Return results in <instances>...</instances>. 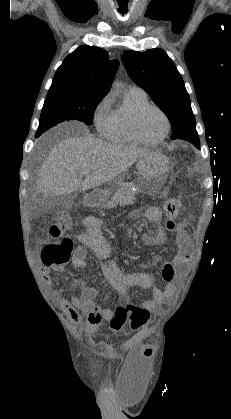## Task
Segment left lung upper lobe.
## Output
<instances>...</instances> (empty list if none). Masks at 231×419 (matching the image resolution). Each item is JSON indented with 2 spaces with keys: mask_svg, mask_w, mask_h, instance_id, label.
<instances>
[{
  "mask_svg": "<svg viewBox=\"0 0 231 419\" xmlns=\"http://www.w3.org/2000/svg\"><path fill=\"white\" fill-rule=\"evenodd\" d=\"M125 68L132 80L144 89L166 113L171 126V139L199 144L195 117L181 74L162 49L146 52L125 51Z\"/></svg>",
  "mask_w": 231,
  "mask_h": 419,
  "instance_id": "5c2ea615",
  "label": "left lung upper lobe"
}]
</instances>
